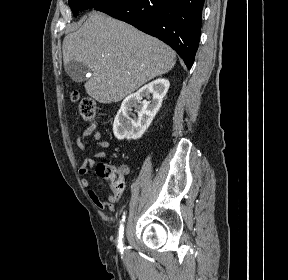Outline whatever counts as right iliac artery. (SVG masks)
I'll return each mask as SVG.
<instances>
[{
  "mask_svg": "<svg viewBox=\"0 0 288 280\" xmlns=\"http://www.w3.org/2000/svg\"><path fill=\"white\" fill-rule=\"evenodd\" d=\"M124 221H125V216H123L122 222L120 224L119 235H118V248H119L121 253L124 252V247H123Z\"/></svg>",
  "mask_w": 288,
  "mask_h": 280,
  "instance_id": "1",
  "label": "right iliac artery"
}]
</instances>
